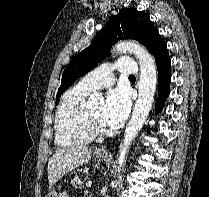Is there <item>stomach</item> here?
Wrapping results in <instances>:
<instances>
[{"label": "stomach", "mask_w": 209, "mask_h": 197, "mask_svg": "<svg viewBox=\"0 0 209 197\" xmlns=\"http://www.w3.org/2000/svg\"><path fill=\"white\" fill-rule=\"evenodd\" d=\"M95 159L98 161H103L108 158V154H101V153H95L94 154ZM46 197H69L68 194L66 193H61V192H56L55 190H51Z\"/></svg>", "instance_id": "obj_1"}]
</instances>
